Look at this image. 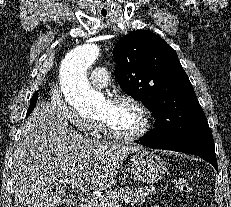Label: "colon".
<instances>
[{
	"instance_id": "colon-1",
	"label": "colon",
	"mask_w": 231,
	"mask_h": 207,
	"mask_svg": "<svg viewBox=\"0 0 231 207\" xmlns=\"http://www.w3.org/2000/svg\"><path fill=\"white\" fill-rule=\"evenodd\" d=\"M177 189L186 197L190 198L193 195L194 189L191 184L184 178H179L176 181Z\"/></svg>"
}]
</instances>
